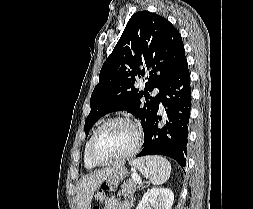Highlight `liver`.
I'll list each match as a JSON object with an SVG mask.
<instances>
[{
	"label": "liver",
	"mask_w": 253,
	"mask_h": 209,
	"mask_svg": "<svg viewBox=\"0 0 253 209\" xmlns=\"http://www.w3.org/2000/svg\"><path fill=\"white\" fill-rule=\"evenodd\" d=\"M115 171L114 167L105 168L80 179L76 195L78 209H91L94 192Z\"/></svg>",
	"instance_id": "1"
}]
</instances>
